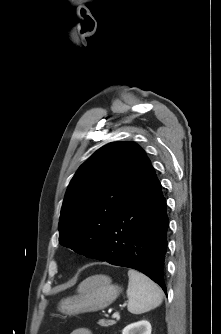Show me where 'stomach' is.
I'll use <instances>...</instances> for the list:
<instances>
[{"mask_svg":"<svg viewBox=\"0 0 221 334\" xmlns=\"http://www.w3.org/2000/svg\"><path fill=\"white\" fill-rule=\"evenodd\" d=\"M121 288L105 275H93L85 279L78 288V294L62 299L58 310L66 315L96 312L113 303Z\"/></svg>","mask_w":221,"mask_h":334,"instance_id":"0dacf381","label":"stomach"}]
</instances>
